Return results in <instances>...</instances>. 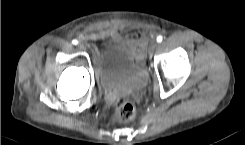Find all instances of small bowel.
<instances>
[{
    "label": "small bowel",
    "instance_id": "small-bowel-1",
    "mask_svg": "<svg viewBox=\"0 0 245 145\" xmlns=\"http://www.w3.org/2000/svg\"><path fill=\"white\" fill-rule=\"evenodd\" d=\"M109 33H110L109 30H104V29L98 30L97 32L90 35V40H94V41L101 40L107 35H109Z\"/></svg>",
    "mask_w": 245,
    "mask_h": 145
}]
</instances>
